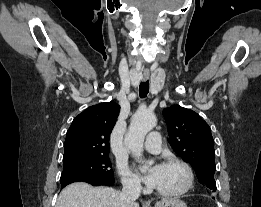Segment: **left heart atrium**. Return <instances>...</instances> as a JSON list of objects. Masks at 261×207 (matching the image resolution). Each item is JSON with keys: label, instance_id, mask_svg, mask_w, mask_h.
Segmentation results:
<instances>
[{"label": "left heart atrium", "instance_id": "1", "mask_svg": "<svg viewBox=\"0 0 261 207\" xmlns=\"http://www.w3.org/2000/svg\"><path fill=\"white\" fill-rule=\"evenodd\" d=\"M161 165H155L145 176V181L151 186H155L158 180Z\"/></svg>", "mask_w": 261, "mask_h": 207}]
</instances>
